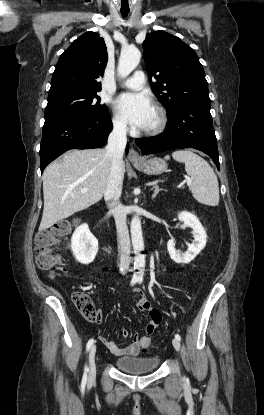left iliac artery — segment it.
I'll return each mask as SVG.
<instances>
[{"label":"left iliac artery","instance_id":"left-iliac-artery-1","mask_svg":"<svg viewBox=\"0 0 264 415\" xmlns=\"http://www.w3.org/2000/svg\"><path fill=\"white\" fill-rule=\"evenodd\" d=\"M142 280H143L142 278H139V279H138V282H139V283H141V282H142ZM175 338H176V339H178L179 341L181 340V337H180V335H179V334H176V335H175Z\"/></svg>","mask_w":264,"mask_h":415}]
</instances>
